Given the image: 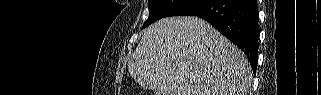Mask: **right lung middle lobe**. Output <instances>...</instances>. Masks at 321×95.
Returning a JSON list of instances; mask_svg holds the SVG:
<instances>
[{
    "label": "right lung middle lobe",
    "instance_id": "1",
    "mask_svg": "<svg viewBox=\"0 0 321 95\" xmlns=\"http://www.w3.org/2000/svg\"><path fill=\"white\" fill-rule=\"evenodd\" d=\"M208 0H148L149 17L143 28L168 16L191 15Z\"/></svg>",
    "mask_w": 321,
    "mask_h": 95
}]
</instances>
